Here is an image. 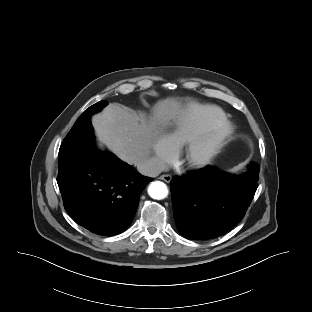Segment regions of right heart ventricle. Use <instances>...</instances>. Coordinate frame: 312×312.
Here are the masks:
<instances>
[{
    "label": "right heart ventricle",
    "instance_id": "1",
    "mask_svg": "<svg viewBox=\"0 0 312 312\" xmlns=\"http://www.w3.org/2000/svg\"><path fill=\"white\" fill-rule=\"evenodd\" d=\"M223 120H226V114L220 107L191 104L170 118L164 135L178 147Z\"/></svg>",
    "mask_w": 312,
    "mask_h": 312
}]
</instances>
